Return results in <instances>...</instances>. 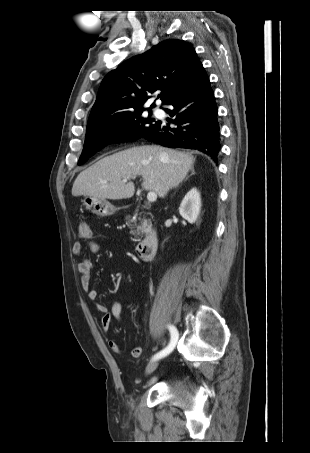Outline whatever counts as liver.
Returning <instances> with one entry per match:
<instances>
[{
    "label": "liver",
    "instance_id": "6515ba94",
    "mask_svg": "<svg viewBox=\"0 0 310 453\" xmlns=\"http://www.w3.org/2000/svg\"><path fill=\"white\" fill-rule=\"evenodd\" d=\"M194 162L191 154L177 150L155 145L132 147L104 157L80 172L72 195L110 200L131 198L135 186L123 179L142 176L143 189L164 197L183 181Z\"/></svg>",
    "mask_w": 310,
    "mask_h": 453
}]
</instances>
